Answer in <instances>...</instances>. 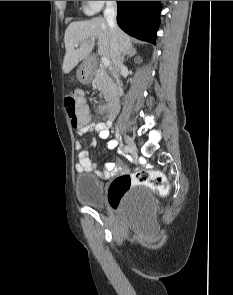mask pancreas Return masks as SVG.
<instances>
[{"label":"pancreas","instance_id":"obj_1","mask_svg":"<svg viewBox=\"0 0 233 295\" xmlns=\"http://www.w3.org/2000/svg\"><path fill=\"white\" fill-rule=\"evenodd\" d=\"M94 84L107 100H110L116 92L114 75L107 72L104 67H100L96 71Z\"/></svg>","mask_w":233,"mask_h":295}]
</instances>
